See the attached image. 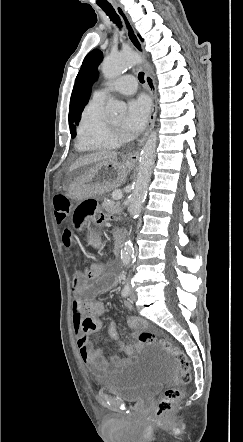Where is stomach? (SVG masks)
I'll return each mask as SVG.
<instances>
[{
  "label": "stomach",
  "mask_w": 243,
  "mask_h": 442,
  "mask_svg": "<svg viewBox=\"0 0 243 442\" xmlns=\"http://www.w3.org/2000/svg\"><path fill=\"white\" fill-rule=\"evenodd\" d=\"M134 167V161L124 158L122 161H102L84 174L70 182L67 188L72 199L83 200L95 197L117 188L127 173Z\"/></svg>",
  "instance_id": "stomach-1"
}]
</instances>
